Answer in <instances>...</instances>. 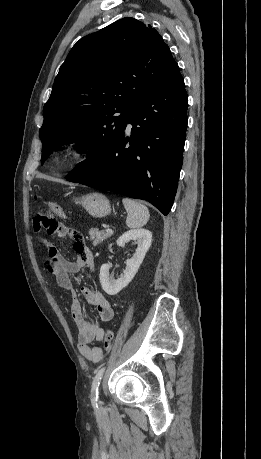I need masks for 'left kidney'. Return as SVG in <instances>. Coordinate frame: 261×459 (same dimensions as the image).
Segmentation results:
<instances>
[{
  "label": "left kidney",
  "mask_w": 261,
  "mask_h": 459,
  "mask_svg": "<svg viewBox=\"0 0 261 459\" xmlns=\"http://www.w3.org/2000/svg\"><path fill=\"white\" fill-rule=\"evenodd\" d=\"M135 242L138 244L132 258L126 262V268L118 279H114L109 275L108 264H103L100 269V283L103 290L108 295H116L123 288H125L136 275L143 259L151 246L152 233L146 229H134L125 232L117 240V245L124 247L128 242Z\"/></svg>",
  "instance_id": "left-kidney-1"
}]
</instances>
